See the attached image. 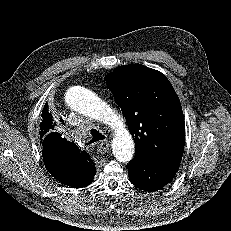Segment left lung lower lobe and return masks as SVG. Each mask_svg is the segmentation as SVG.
Segmentation results:
<instances>
[{
	"instance_id": "left-lung-lower-lobe-1",
	"label": "left lung lower lobe",
	"mask_w": 231,
	"mask_h": 231,
	"mask_svg": "<svg viewBox=\"0 0 231 231\" xmlns=\"http://www.w3.org/2000/svg\"><path fill=\"white\" fill-rule=\"evenodd\" d=\"M179 166V162L165 163L139 156L133 159L127 168L132 184L144 191L152 192L168 184Z\"/></svg>"
}]
</instances>
